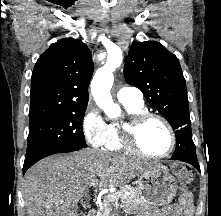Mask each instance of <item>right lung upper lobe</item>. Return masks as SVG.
<instances>
[{"label":"right lung upper lobe","mask_w":221,"mask_h":216,"mask_svg":"<svg viewBox=\"0 0 221 216\" xmlns=\"http://www.w3.org/2000/svg\"><path fill=\"white\" fill-rule=\"evenodd\" d=\"M93 70L91 53L80 40L66 38L52 44L32 72L30 120L87 107Z\"/></svg>","instance_id":"obj_1"}]
</instances>
